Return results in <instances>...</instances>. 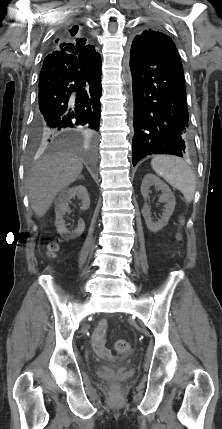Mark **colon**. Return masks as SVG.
<instances>
[{
    "mask_svg": "<svg viewBox=\"0 0 222 429\" xmlns=\"http://www.w3.org/2000/svg\"><path fill=\"white\" fill-rule=\"evenodd\" d=\"M58 248V245L56 242H52L49 244V254L50 255H54L56 250ZM114 348L118 351V352H128L131 350V345L127 340L124 339H119L114 343Z\"/></svg>",
    "mask_w": 222,
    "mask_h": 429,
    "instance_id": "colon-1",
    "label": "colon"
}]
</instances>
